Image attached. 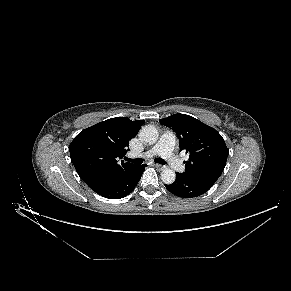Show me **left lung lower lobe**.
Listing matches in <instances>:
<instances>
[{
  "mask_svg": "<svg viewBox=\"0 0 291 291\" xmlns=\"http://www.w3.org/2000/svg\"><path fill=\"white\" fill-rule=\"evenodd\" d=\"M215 176H189L177 173L176 180L165 185L172 194L182 198H194L206 193L217 181Z\"/></svg>",
  "mask_w": 291,
  "mask_h": 291,
  "instance_id": "0a47b994",
  "label": "left lung lower lobe"
}]
</instances>
